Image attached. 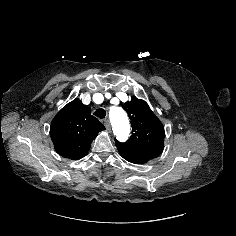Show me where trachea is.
<instances>
[{
    "label": "trachea",
    "instance_id": "3493384b",
    "mask_svg": "<svg viewBox=\"0 0 236 236\" xmlns=\"http://www.w3.org/2000/svg\"><path fill=\"white\" fill-rule=\"evenodd\" d=\"M93 114L100 119H104V117L106 116V111L100 108V109H97Z\"/></svg>",
    "mask_w": 236,
    "mask_h": 236
}]
</instances>
